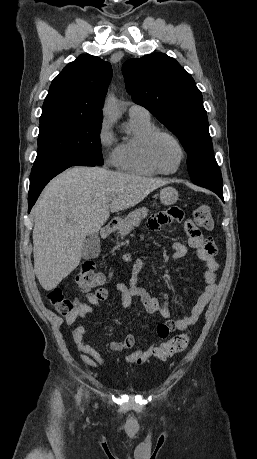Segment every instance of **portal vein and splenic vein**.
<instances>
[{"label": "portal vein and splenic vein", "instance_id": "obj_1", "mask_svg": "<svg viewBox=\"0 0 257 459\" xmlns=\"http://www.w3.org/2000/svg\"><path fill=\"white\" fill-rule=\"evenodd\" d=\"M110 202H111V200H110V199H109V200H107V203H108V204H109Z\"/></svg>", "mask_w": 257, "mask_h": 459}]
</instances>
